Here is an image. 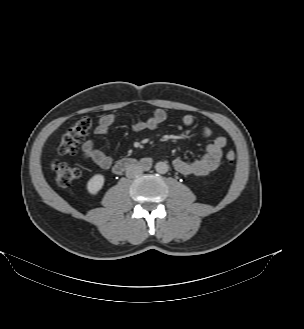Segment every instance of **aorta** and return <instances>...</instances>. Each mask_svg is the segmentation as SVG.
I'll list each match as a JSON object with an SVG mask.
<instances>
[{"label":"aorta","instance_id":"obj_1","mask_svg":"<svg viewBox=\"0 0 304 329\" xmlns=\"http://www.w3.org/2000/svg\"><path fill=\"white\" fill-rule=\"evenodd\" d=\"M168 165L166 162H158L155 165V170L159 173V174H165L168 171Z\"/></svg>","mask_w":304,"mask_h":329}]
</instances>
